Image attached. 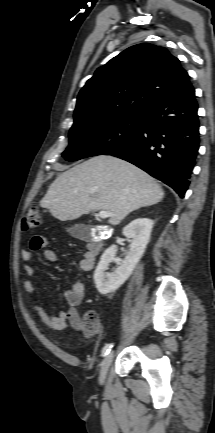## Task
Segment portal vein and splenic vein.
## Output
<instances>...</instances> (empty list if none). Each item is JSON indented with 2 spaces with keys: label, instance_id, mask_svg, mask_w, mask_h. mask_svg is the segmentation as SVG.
Segmentation results:
<instances>
[{
  "label": "portal vein and splenic vein",
  "instance_id": "1",
  "mask_svg": "<svg viewBox=\"0 0 215 433\" xmlns=\"http://www.w3.org/2000/svg\"><path fill=\"white\" fill-rule=\"evenodd\" d=\"M98 216L102 219H106V218L112 216V214L110 212H107V211H100Z\"/></svg>",
  "mask_w": 215,
  "mask_h": 433
}]
</instances>
